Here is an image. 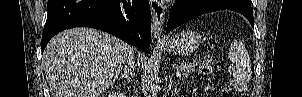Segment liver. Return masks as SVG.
<instances>
[{"label":"liver","mask_w":302,"mask_h":97,"mask_svg":"<svg viewBox=\"0 0 302 97\" xmlns=\"http://www.w3.org/2000/svg\"><path fill=\"white\" fill-rule=\"evenodd\" d=\"M129 46L91 28H73L54 36L42 62L52 97H99L122 70Z\"/></svg>","instance_id":"1"}]
</instances>
